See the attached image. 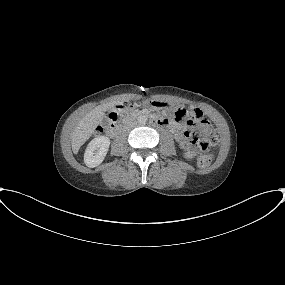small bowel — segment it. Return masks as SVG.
<instances>
[{
	"mask_svg": "<svg viewBox=\"0 0 285 285\" xmlns=\"http://www.w3.org/2000/svg\"><path fill=\"white\" fill-rule=\"evenodd\" d=\"M195 112L197 115H199V113H201L199 110H196ZM188 125H191V124L188 123ZM175 137H176V140L180 143V145L182 147L186 146V140H185L184 133L177 132Z\"/></svg>",
	"mask_w": 285,
	"mask_h": 285,
	"instance_id": "c3829d8e",
	"label": "small bowel"
}]
</instances>
